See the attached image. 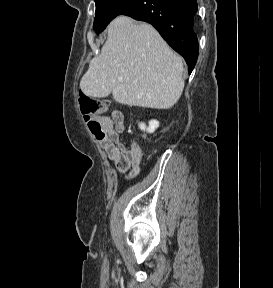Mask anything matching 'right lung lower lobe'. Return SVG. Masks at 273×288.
<instances>
[{"label":"right lung lower lobe","instance_id":"1","mask_svg":"<svg viewBox=\"0 0 273 288\" xmlns=\"http://www.w3.org/2000/svg\"><path fill=\"white\" fill-rule=\"evenodd\" d=\"M196 0H137L122 13L150 23L164 40L181 54L191 74L198 58V39L194 31Z\"/></svg>","mask_w":273,"mask_h":288}]
</instances>
